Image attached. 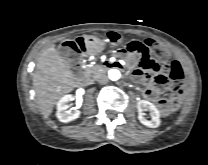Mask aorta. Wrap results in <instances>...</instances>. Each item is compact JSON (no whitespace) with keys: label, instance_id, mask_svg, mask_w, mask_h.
Masks as SVG:
<instances>
[{"label":"aorta","instance_id":"762f6f07","mask_svg":"<svg viewBox=\"0 0 208 165\" xmlns=\"http://www.w3.org/2000/svg\"><path fill=\"white\" fill-rule=\"evenodd\" d=\"M108 76H109L110 80L117 81L118 79H120L121 74H120V71L118 69H110L108 71Z\"/></svg>","mask_w":208,"mask_h":165}]
</instances>
